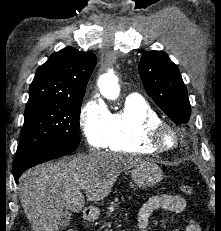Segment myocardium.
<instances>
[{
	"label": "myocardium",
	"mask_w": 221,
	"mask_h": 231,
	"mask_svg": "<svg viewBox=\"0 0 221 231\" xmlns=\"http://www.w3.org/2000/svg\"><path fill=\"white\" fill-rule=\"evenodd\" d=\"M144 142L154 151L164 153L176 148L179 135L173 125L159 120L146 125Z\"/></svg>",
	"instance_id": "myocardium-1"
}]
</instances>
